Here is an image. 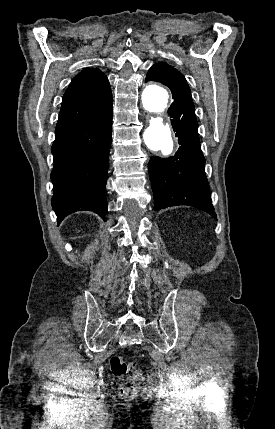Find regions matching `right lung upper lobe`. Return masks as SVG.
I'll return each mask as SVG.
<instances>
[{"label":"right lung upper lobe","instance_id":"right-lung-upper-lobe-1","mask_svg":"<svg viewBox=\"0 0 275 429\" xmlns=\"http://www.w3.org/2000/svg\"><path fill=\"white\" fill-rule=\"evenodd\" d=\"M112 111L109 82L100 70L84 69L66 90L55 131L105 117Z\"/></svg>","mask_w":275,"mask_h":429}]
</instances>
